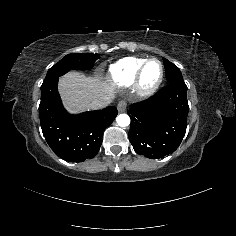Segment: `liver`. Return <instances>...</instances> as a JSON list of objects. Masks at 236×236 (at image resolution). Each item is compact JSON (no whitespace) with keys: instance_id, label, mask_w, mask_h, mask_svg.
<instances>
[{"instance_id":"6515ba94","label":"liver","mask_w":236,"mask_h":236,"mask_svg":"<svg viewBox=\"0 0 236 236\" xmlns=\"http://www.w3.org/2000/svg\"><path fill=\"white\" fill-rule=\"evenodd\" d=\"M57 92L64 112L69 117H77L86 112L88 104L95 99L111 104L119 91L102 74L86 75L81 71L69 70L58 77Z\"/></svg>"}]
</instances>
